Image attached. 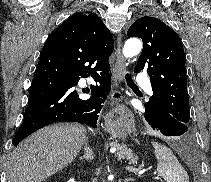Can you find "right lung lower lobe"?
I'll return each instance as SVG.
<instances>
[{
    "label": "right lung lower lobe",
    "mask_w": 211,
    "mask_h": 182,
    "mask_svg": "<svg viewBox=\"0 0 211 182\" xmlns=\"http://www.w3.org/2000/svg\"><path fill=\"white\" fill-rule=\"evenodd\" d=\"M109 71V62L78 44L67 25L55 29L41 51L24 120L13 145L55 122L73 121L96 128L102 103L111 89ZM90 74L99 85H91L92 96L81 99L74 87Z\"/></svg>",
    "instance_id": "1"
}]
</instances>
